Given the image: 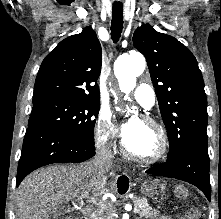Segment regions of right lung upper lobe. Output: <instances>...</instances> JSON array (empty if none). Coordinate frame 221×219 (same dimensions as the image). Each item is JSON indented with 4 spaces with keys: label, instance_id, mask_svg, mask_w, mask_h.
I'll return each mask as SVG.
<instances>
[{
    "label": "right lung upper lobe",
    "instance_id": "1",
    "mask_svg": "<svg viewBox=\"0 0 221 219\" xmlns=\"http://www.w3.org/2000/svg\"><path fill=\"white\" fill-rule=\"evenodd\" d=\"M101 63L102 49L92 27L64 39L40 66L33 103L47 99L100 101L96 81Z\"/></svg>",
    "mask_w": 221,
    "mask_h": 219
}]
</instances>
